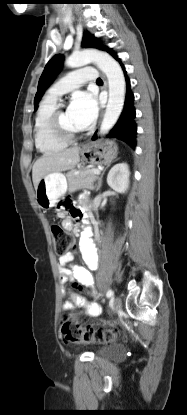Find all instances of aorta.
<instances>
[{
    "mask_svg": "<svg viewBox=\"0 0 187 415\" xmlns=\"http://www.w3.org/2000/svg\"><path fill=\"white\" fill-rule=\"evenodd\" d=\"M89 63H95L105 73L109 85V99L100 126V134L104 135L116 124L124 106L126 82L119 63L108 53L96 49L83 50L72 54L66 65L77 68Z\"/></svg>",
    "mask_w": 187,
    "mask_h": 415,
    "instance_id": "762f6f07",
    "label": "aorta"
}]
</instances>
